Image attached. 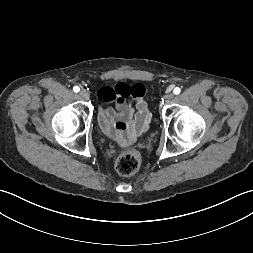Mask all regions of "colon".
Segmentation results:
<instances>
[{"label": "colon", "mask_w": 253, "mask_h": 253, "mask_svg": "<svg viewBox=\"0 0 253 253\" xmlns=\"http://www.w3.org/2000/svg\"><path fill=\"white\" fill-rule=\"evenodd\" d=\"M116 170L123 176L135 174L140 167V158L133 151L122 152L115 162Z\"/></svg>", "instance_id": "5ec220e1"}]
</instances>
